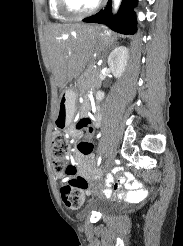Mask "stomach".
I'll return each mask as SVG.
<instances>
[{"label":"stomach","mask_w":183,"mask_h":246,"mask_svg":"<svg viewBox=\"0 0 183 246\" xmlns=\"http://www.w3.org/2000/svg\"><path fill=\"white\" fill-rule=\"evenodd\" d=\"M110 39L108 33L101 28H98L95 34L96 47L105 45ZM76 93L71 89H65L59 98L57 116L55 125L58 128H66L72 122L76 111Z\"/></svg>","instance_id":"obj_1"}]
</instances>
